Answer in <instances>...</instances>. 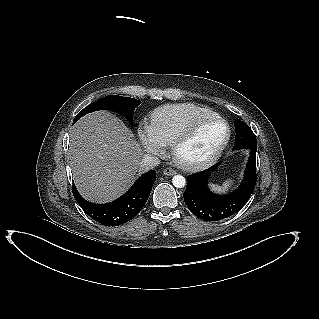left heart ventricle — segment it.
<instances>
[{
    "label": "left heart ventricle",
    "mask_w": 319,
    "mask_h": 319,
    "mask_svg": "<svg viewBox=\"0 0 319 319\" xmlns=\"http://www.w3.org/2000/svg\"><path fill=\"white\" fill-rule=\"evenodd\" d=\"M224 135L225 127L221 122H207L180 148L179 154L183 159L189 161L203 159L213 152Z\"/></svg>",
    "instance_id": "left-heart-ventricle-1"
}]
</instances>
